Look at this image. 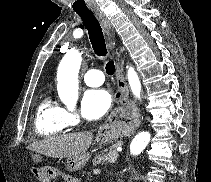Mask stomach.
Wrapping results in <instances>:
<instances>
[{
	"label": "stomach",
	"mask_w": 211,
	"mask_h": 182,
	"mask_svg": "<svg viewBox=\"0 0 211 182\" xmlns=\"http://www.w3.org/2000/svg\"><path fill=\"white\" fill-rule=\"evenodd\" d=\"M118 135H119V132L112 129L102 131L97 135L95 139V143L98 145L107 144L113 141ZM33 158L35 160L40 159V157L37 155L33 156ZM88 159H89V153H83L74 157L67 158L66 168L70 172L78 171L85 166Z\"/></svg>",
	"instance_id": "obj_1"
}]
</instances>
